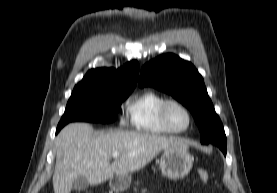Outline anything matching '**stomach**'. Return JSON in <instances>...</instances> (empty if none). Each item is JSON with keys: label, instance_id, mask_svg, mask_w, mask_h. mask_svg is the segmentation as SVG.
<instances>
[{"label": "stomach", "instance_id": "0dacf381", "mask_svg": "<svg viewBox=\"0 0 277 193\" xmlns=\"http://www.w3.org/2000/svg\"><path fill=\"white\" fill-rule=\"evenodd\" d=\"M193 166V157L188 148L175 147L163 151L160 159V169L164 176L172 180L184 178L188 175ZM131 184L129 175L119 176L110 179V187L117 192L125 191Z\"/></svg>", "mask_w": 277, "mask_h": 193}]
</instances>
